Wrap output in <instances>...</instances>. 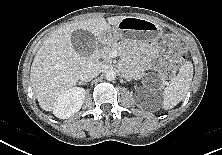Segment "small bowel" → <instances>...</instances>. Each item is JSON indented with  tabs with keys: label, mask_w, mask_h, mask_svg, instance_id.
I'll list each match as a JSON object with an SVG mask.
<instances>
[{
	"label": "small bowel",
	"mask_w": 222,
	"mask_h": 155,
	"mask_svg": "<svg viewBox=\"0 0 222 155\" xmlns=\"http://www.w3.org/2000/svg\"><path fill=\"white\" fill-rule=\"evenodd\" d=\"M159 48L157 44H152L149 48V63L155 67L158 62Z\"/></svg>",
	"instance_id": "1"
}]
</instances>
